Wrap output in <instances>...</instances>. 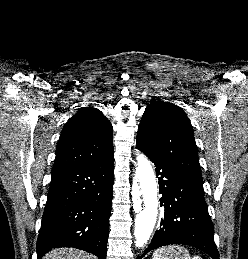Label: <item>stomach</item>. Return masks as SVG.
I'll use <instances>...</instances> for the list:
<instances>
[{"mask_svg": "<svg viewBox=\"0 0 248 259\" xmlns=\"http://www.w3.org/2000/svg\"><path fill=\"white\" fill-rule=\"evenodd\" d=\"M164 259H191L189 252L182 247L177 249L175 246H168L163 248Z\"/></svg>", "mask_w": 248, "mask_h": 259, "instance_id": "1", "label": "stomach"}]
</instances>
